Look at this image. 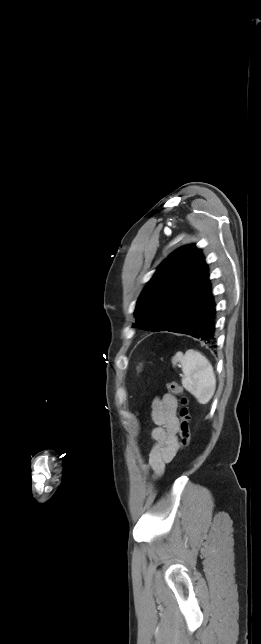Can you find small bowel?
<instances>
[{"label":"small bowel","instance_id":"c3829d8e","mask_svg":"<svg viewBox=\"0 0 261 644\" xmlns=\"http://www.w3.org/2000/svg\"><path fill=\"white\" fill-rule=\"evenodd\" d=\"M177 406L176 397L169 393L152 402L151 416L155 427L151 430L150 438L153 447L148 462L143 467L152 470L156 477L163 474L166 464L173 460L179 447Z\"/></svg>","mask_w":261,"mask_h":644}]
</instances>
